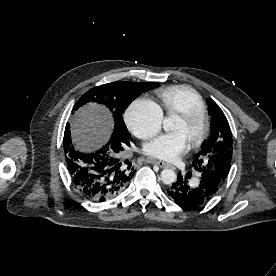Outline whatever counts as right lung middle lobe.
Masks as SVG:
<instances>
[{
  "label": "right lung middle lobe",
  "mask_w": 276,
  "mask_h": 276,
  "mask_svg": "<svg viewBox=\"0 0 276 276\" xmlns=\"http://www.w3.org/2000/svg\"><path fill=\"white\" fill-rule=\"evenodd\" d=\"M155 82L137 83L117 81L91 88L76 102L73 111L91 102L103 104L114 117V131L108 144L130 145L131 136L123 121L122 114L130 103L142 93L158 87Z\"/></svg>",
  "instance_id": "obj_1"
}]
</instances>
